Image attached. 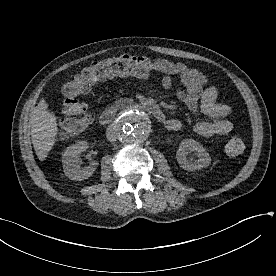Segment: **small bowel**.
Listing matches in <instances>:
<instances>
[{
  "mask_svg": "<svg viewBox=\"0 0 276 276\" xmlns=\"http://www.w3.org/2000/svg\"><path fill=\"white\" fill-rule=\"evenodd\" d=\"M155 71L164 74L162 86L169 90L178 82L177 98L191 111H201L211 120L195 124L194 131L202 137L225 136L231 132L233 125L228 117L233 109L224 103L218 102V90L208 85L206 77L197 69L183 63L172 62L166 59L153 61ZM178 119H167V129L176 131L181 128Z\"/></svg>",
  "mask_w": 276,
  "mask_h": 276,
  "instance_id": "obj_1",
  "label": "small bowel"
}]
</instances>
